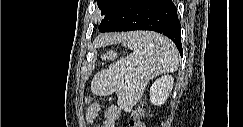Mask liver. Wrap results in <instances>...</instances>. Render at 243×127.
<instances>
[{
    "instance_id": "liver-1",
    "label": "liver",
    "mask_w": 243,
    "mask_h": 127,
    "mask_svg": "<svg viewBox=\"0 0 243 127\" xmlns=\"http://www.w3.org/2000/svg\"><path fill=\"white\" fill-rule=\"evenodd\" d=\"M131 34L132 33H117L109 36H100L94 41V44L97 45V44H104L106 42L121 41Z\"/></svg>"
}]
</instances>
